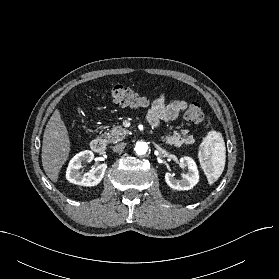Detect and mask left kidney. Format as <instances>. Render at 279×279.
<instances>
[{"label":"left kidney","mask_w":279,"mask_h":279,"mask_svg":"<svg viewBox=\"0 0 279 279\" xmlns=\"http://www.w3.org/2000/svg\"><path fill=\"white\" fill-rule=\"evenodd\" d=\"M180 164L188 168V172L182 175L181 179H176L173 174L167 172L165 181L167 185L174 190H190L199 181V172L195 161L188 156L180 157Z\"/></svg>","instance_id":"5707ae66"}]
</instances>
